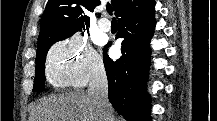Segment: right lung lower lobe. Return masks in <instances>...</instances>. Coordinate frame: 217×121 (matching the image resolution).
I'll use <instances>...</instances> for the list:
<instances>
[{"label": "right lung lower lobe", "mask_w": 217, "mask_h": 121, "mask_svg": "<svg viewBox=\"0 0 217 121\" xmlns=\"http://www.w3.org/2000/svg\"><path fill=\"white\" fill-rule=\"evenodd\" d=\"M155 1L128 0L117 15L123 38L122 56L112 60L104 48V65L108 77V97L114 109L128 121L150 120V97L145 92L150 58L149 42L155 28Z\"/></svg>", "instance_id": "98d812e1"}]
</instances>
